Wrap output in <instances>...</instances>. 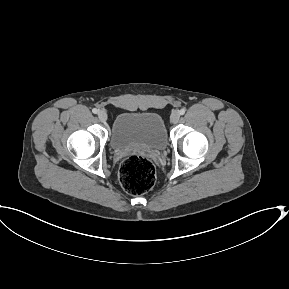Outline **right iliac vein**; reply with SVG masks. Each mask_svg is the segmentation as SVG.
I'll return each mask as SVG.
<instances>
[{
	"instance_id": "63e3f726",
	"label": "right iliac vein",
	"mask_w": 289,
	"mask_h": 289,
	"mask_svg": "<svg viewBox=\"0 0 289 289\" xmlns=\"http://www.w3.org/2000/svg\"><path fill=\"white\" fill-rule=\"evenodd\" d=\"M97 115H98V118H99V120H100L101 122H106V120H107V113H106L104 110L98 111Z\"/></svg>"
}]
</instances>
